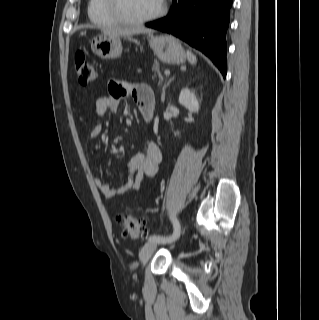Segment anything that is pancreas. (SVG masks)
I'll return each mask as SVG.
<instances>
[{
	"mask_svg": "<svg viewBox=\"0 0 319 320\" xmlns=\"http://www.w3.org/2000/svg\"><path fill=\"white\" fill-rule=\"evenodd\" d=\"M152 70L158 75L159 78H161V72H160V64L155 60Z\"/></svg>",
	"mask_w": 319,
	"mask_h": 320,
	"instance_id": "1",
	"label": "pancreas"
}]
</instances>
